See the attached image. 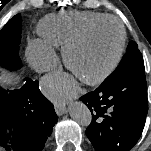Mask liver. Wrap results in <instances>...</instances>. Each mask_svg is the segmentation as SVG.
<instances>
[{
	"mask_svg": "<svg viewBox=\"0 0 151 151\" xmlns=\"http://www.w3.org/2000/svg\"><path fill=\"white\" fill-rule=\"evenodd\" d=\"M0 83L13 84L16 83V78L9 73L3 72L0 75Z\"/></svg>",
	"mask_w": 151,
	"mask_h": 151,
	"instance_id": "6515ba94",
	"label": "liver"
}]
</instances>
